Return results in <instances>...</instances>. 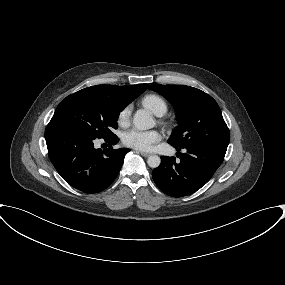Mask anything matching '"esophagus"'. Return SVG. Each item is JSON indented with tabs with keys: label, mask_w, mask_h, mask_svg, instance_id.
<instances>
[{
	"label": "esophagus",
	"mask_w": 285,
	"mask_h": 285,
	"mask_svg": "<svg viewBox=\"0 0 285 285\" xmlns=\"http://www.w3.org/2000/svg\"><path fill=\"white\" fill-rule=\"evenodd\" d=\"M139 154H141L144 157H149L151 154L147 152L137 151Z\"/></svg>",
	"instance_id": "34e87169"
}]
</instances>
